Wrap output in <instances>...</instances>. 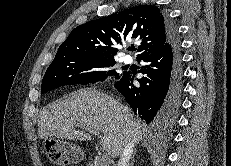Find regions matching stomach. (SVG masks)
I'll return each mask as SVG.
<instances>
[{
    "instance_id": "0dacf381",
    "label": "stomach",
    "mask_w": 231,
    "mask_h": 166,
    "mask_svg": "<svg viewBox=\"0 0 231 166\" xmlns=\"http://www.w3.org/2000/svg\"><path fill=\"white\" fill-rule=\"evenodd\" d=\"M44 148L50 160L59 166L77 164L84 159V152L77 144L61 139H47Z\"/></svg>"
}]
</instances>
